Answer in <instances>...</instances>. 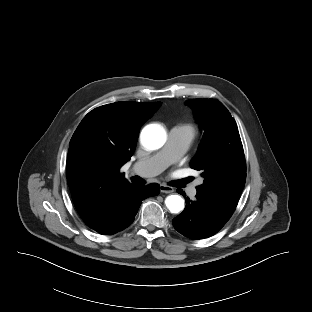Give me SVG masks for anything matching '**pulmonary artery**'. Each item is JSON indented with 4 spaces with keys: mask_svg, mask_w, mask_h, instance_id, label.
I'll return each instance as SVG.
<instances>
[{
    "mask_svg": "<svg viewBox=\"0 0 312 312\" xmlns=\"http://www.w3.org/2000/svg\"><path fill=\"white\" fill-rule=\"evenodd\" d=\"M192 141V134L181 126L173 127L165 146L149 158L138 160L134 163L135 172L141 177H151L161 173L167 166L176 162L187 151ZM196 185L189 190V195L194 197L197 193Z\"/></svg>",
    "mask_w": 312,
    "mask_h": 312,
    "instance_id": "e3ab8cb5",
    "label": "pulmonary artery"
}]
</instances>
